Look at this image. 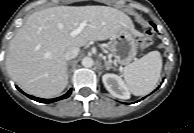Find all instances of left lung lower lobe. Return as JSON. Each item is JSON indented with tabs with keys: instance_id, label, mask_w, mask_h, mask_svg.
<instances>
[{
	"instance_id": "obj_1",
	"label": "left lung lower lobe",
	"mask_w": 194,
	"mask_h": 133,
	"mask_svg": "<svg viewBox=\"0 0 194 133\" xmlns=\"http://www.w3.org/2000/svg\"><path fill=\"white\" fill-rule=\"evenodd\" d=\"M151 25L156 29V26L153 23H151Z\"/></svg>"
}]
</instances>
